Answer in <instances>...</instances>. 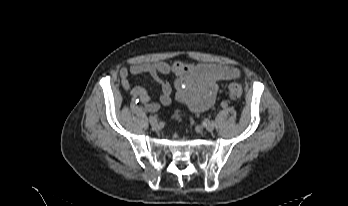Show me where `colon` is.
<instances>
[{
  "label": "colon",
  "mask_w": 348,
  "mask_h": 206,
  "mask_svg": "<svg viewBox=\"0 0 348 206\" xmlns=\"http://www.w3.org/2000/svg\"><path fill=\"white\" fill-rule=\"evenodd\" d=\"M242 86L240 83L232 82L228 85V93L231 99L238 100L242 96Z\"/></svg>",
  "instance_id": "5ec220e1"
}]
</instances>
